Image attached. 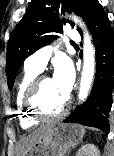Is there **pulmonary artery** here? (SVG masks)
Instances as JSON below:
<instances>
[{
	"label": "pulmonary artery",
	"instance_id": "pulmonary-artery-1",
	"mask_svg": "<svg viewBox=\"0 0 114 156\" xmlns=\"http://www.w3.org/2000/svg\"><path fill=\"white\" fill-rule=\"evenodd\" d=\"M67 37L73 42L80 40V36L78 32L75 30H68ZM53 50H54L53 45L45 46L39 49L26 59L25 65L37 69L39 71H42L45 68L47 61L49 60Z\"/></svg>",
	"mask_w": 114,
	"mask_h": 156
}]
</instances>
